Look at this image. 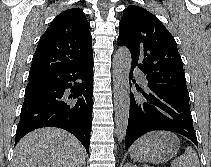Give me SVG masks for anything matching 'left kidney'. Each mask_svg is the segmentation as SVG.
Here are the masks:
<instances>
[{"instance_id": "5707ae66", "label": "left kidney", "mask_w": 211, "mask_h": 167, "mask_svg": "<svg viewBox=\"0 0 211 167\" xmlns=\"http://www.w3.org/2000/svg\"><path fill=\"white\" fill-rule=\"evenodd\" d=\"M127 165V167H137V166H132V165H130V164H126Z\"/></svg>"}]
</instances>
